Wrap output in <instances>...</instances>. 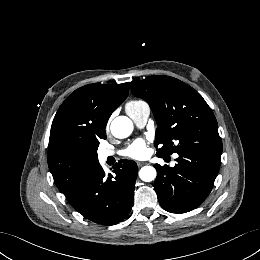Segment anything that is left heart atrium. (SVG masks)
I'll return each mask as SVG.
<instances>
[{"instance_id": "1", "label": "left heart atrium", "mask_w": 260, "mask_h": 260, "mask_svg": "<svg viewBox=\"0 0 260 260\" xmlns=\"http://www.w3.org/2000/svg\"><path fill=\"white\" fill-rule=\"evenodd\" d=\"M145 153H146V143L142 139H138L134 141L123 152L125 156H129L132 158H141L145 155Z\"/></svg>"}]
</instances>
